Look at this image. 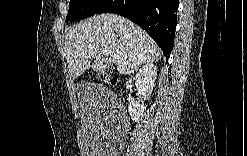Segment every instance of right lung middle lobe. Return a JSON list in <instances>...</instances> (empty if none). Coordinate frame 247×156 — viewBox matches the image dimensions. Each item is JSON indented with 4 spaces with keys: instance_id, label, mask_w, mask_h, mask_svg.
I'll return each instance as SVG.
<instances>
[{
    "instance_id": "dd1d6c3e",
    "label": "right lung middle lobe",
    "mask_w": 247,
    "mask_h": 156,
    "mask_svg": "<svg viewBox=\"0 0 247 156\" xmlns=\"http://www.w3.org/2000/svg\"><path fill=\"white\" fill-rule=\"evenodd\" d=\"M107 0H70L66 20L84 19L98 12Z\"/></svg>"
}]
</instances>
